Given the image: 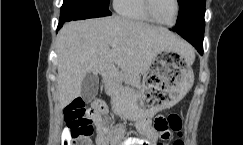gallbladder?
I'll use <instances>...</instances> for the list:
<instances>
[{
	"mask_svg": "<svg viewBox=\"0 0 243 145\" xmlns=\"http://www.w3.org/2000/svg\"><path fill=\"white\" fill-rule=\"evenodd\" d=\"M98 88H99V78L97 74H94L92 72L88 73L83 81H82V85H81V96L82 98L87 101L90 102L91 100H93L97 93H98Z\"/></svg>",
	"mask_w": 243,
	"mask_h": 145,
	"instance_id": "bac80fb5",
	"label": "gallbladder"
}]
</instances>
